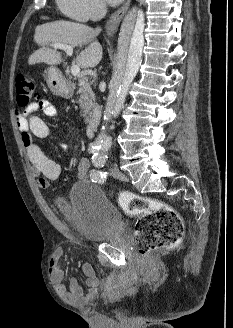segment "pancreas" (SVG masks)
I'll return each mask as SVG.
<instances>
[{"label": "pancreas", "mask_w": 233, "mask_h": 328, "mask_svg": "<svg viewBox=\"0 0 233 328\" xmlns=\"http://www.w3.org/2000/svg\"><path fill=\"white\" fill-rule=\"evenodd\" d=\"M79 89L77 91L78 102L82 108L84 121L88 123L94 113L96 103H95V96L91 89L90 83L83 78L79 80L78 83Z\"/></svg>", "instance_id": "1"}]
</instances>
